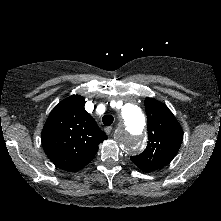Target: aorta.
<instances>
[{
    "mask_svg": "<svg viewBox=\"0 0 221 221\" xmlns=\"http://www.w3.org/2000/svg\"><path fill=\"white\" fill-rule=\"evenodd\" d=\"M121 125L117 141L129 154L141 151L145 141V116L141 109L132 103L125 104L120 110Z\"/></svg>",
    "mask_w": 221,
    "mask_h": 221,
    "instance_id": "aorta-1",
    "label": "aorta"
}]
</instances>
